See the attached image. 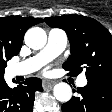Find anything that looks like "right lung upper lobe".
<instances>
[{
  "label": "right lung upper lobe",
  "mask_w": 112,
  "mask_h": 112,
  "mask_svg": "<svg viewBox=\"0 0 112 112\" xmlns=\"http://www.w3.org/2000/svg\"><path fill=\"white\" fill-rule=\"evenodd\" d=\"M41 22V18L0 17V52L20 51L27 29Z\"/></svg>",
  "instance_id": "1"
}]
</instances>
